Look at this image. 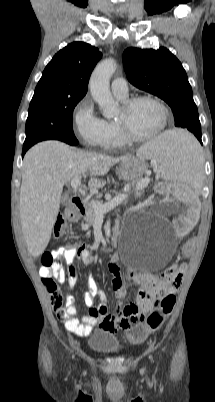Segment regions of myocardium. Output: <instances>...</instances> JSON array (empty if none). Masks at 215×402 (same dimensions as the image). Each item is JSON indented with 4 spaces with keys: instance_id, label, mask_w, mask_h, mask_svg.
I'll list each match as a JSON object with an SVG mask.
<instances>
[{
    "instance_id": "myocardium-1",
    "label": "myocardium",
    "mask_w": 215,
    "mask_h": 402,
    "mask_svg": "<svg viewBox=\"0 0 215 402\" xmlns=\"http://www.w3.org/2000/svg\"><path fill=\"white\" fill-rule=\"evenodd\" d=\"M141 101H151L159 106L163 114V121L161 126L152 134L139 136L134 134L128 125L127 115L134 105ZM121 116L117 119V125L124 140L129 143H142L153 140L160 136L168 127L169 123V109L167 105L158 97L153 95H139L126 99L122 103Z\"/></svg>"
}]
</instances>
